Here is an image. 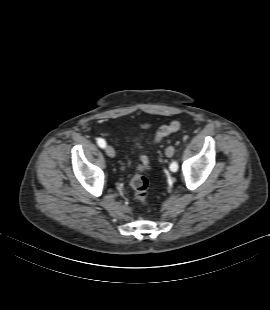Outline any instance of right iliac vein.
Here are the masks:
<instances>
[{
    "label": "right iliac vein",
    "instance_id": "63e3f726",
    "mask_svg": "<svg viewBox=\"0 0 270 310\" xmlns=\"http://www.w3.org/2000/svg\"><path fill=\"white\" fill-rule=\"evenodd\" d=\"M105 152L111 158H113L115 156V150H114V148L112 146H109V145L106 146L105 147Z\"/></svg>",
    "mask_w": 270,
    "mask_h": 310
}]
</instances>
